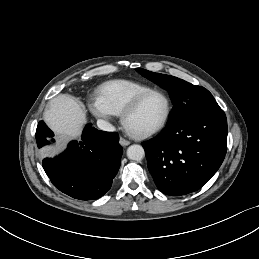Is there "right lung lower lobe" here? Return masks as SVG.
Wrapping results in <instances>:
<instances>
[{"instance_id": "98d812e1", "label": "right lung lower lobe", "mask_w": 259, "mask_h": 259, "mask_svg": "<svg viewBox=\"0 0 259 259\" xmlns=\"http://www.w3.org/2000/svg\"><path fill=\"white\" fill-rule=\"evenodd\" d=\"M53 132L40 121L36 130L38 147L48 144ZM116 132H103L88 124L82 142H71L61 155L45 158L44 171L61 192L80 200L103 196L111 187L121 161L122 147Z\"/></svg>"}]
</instances>
